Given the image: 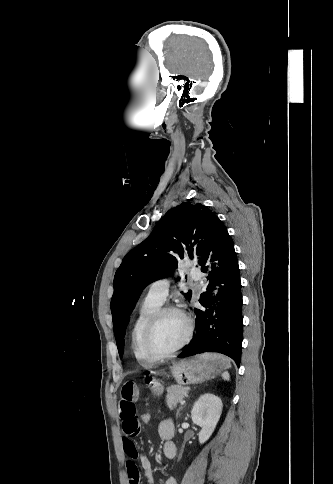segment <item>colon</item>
<instances>
[{
  "label": "colon",
  "mask_w": 333,
  "mask_h": 484,
  "mask_svg": "<svg viewBox=\"0 0 333 484\" xmlns=\"http://www.w3.org/2000/svg\"><path fill=\"white\" fill-rule=\"evenodd\" d=\"M152 416L148 411H144L139 416V422L143 426H147L151 423Z\"/></svg>",
  "instance_id": "colon-1"
}]
</instances>
